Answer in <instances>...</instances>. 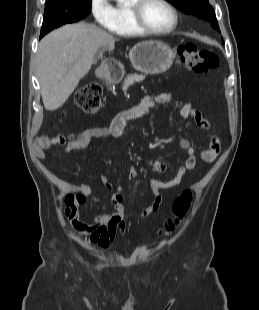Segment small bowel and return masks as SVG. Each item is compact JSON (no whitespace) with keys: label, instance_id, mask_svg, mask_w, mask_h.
<instances>
[{"label":"small bowel","instance_id":"small-bowel-1","mask_svg":"<svg viewBox=\"0 0 259 310\" xmlns=\"http://www.w3.org/2000/svg\"><path fill=\"white\" fill-rule=\"evenodd\" d=\"M156 103H166L172 107L178 118L186 119L191 116L201 128H209L208 122L202 117L198 110L192 107L191 104H182L165 93L146 95L135 107L117 114L109 126L91 128L83 132L77 138L78 140L75 143H68L66 137L61 135L56 137H38L33 145V153L39 159L44 160L47 158L48 149L52 146H60L63 151L67 152L74 149H86L95 140L100 138H119L131 119L149 113L154 108ZM221 144L222 141L220 136L213 135L209 139L207 148L201 152V159L204 162H212L215 160L220 153ZM180 147L187 152L185 164L179 166L176 174L166 182L157 179L150 181L153 201L141 212L140 216L142 218H147L159 210L163 200L161 194L163 189L178 185L188 173L194 170L196 166V156L191 142L188 139H181ZM148 163L158 173H164L166 171L165 164L160 161L151 160ZM101 181L108 189L113 187V183L105 175L101 176ZM78 189L87 196H92L94 194V191L85 182H81L78 185ZM122 190L123 187L118 185L116 187V191L108 197V200L113 205L112 212L99 216L92 223H85L75 220L71 224L75 232L87 235L88 241L98 245L102 250L107 249L117 236L123 234L126 220L131 217L130 214L125 212Z\"/></svg>","mask_w":259,"mask_h":310}]
</instances>
